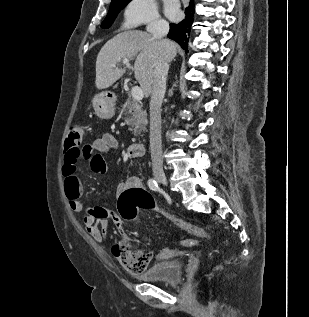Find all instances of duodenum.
I'll return each mask as SVG.
<instances>
[{
	"mask_svg": "<svg viewBox=\"0 0 309 317\" xmlns=\"http://www.w3.org/2000/svg\"><path fill=\"white\" fill-rule=\"evenodd\" d=\"M145 147L140 142L132 143L127 148V154L130 158L141 157L144 154Z\"/></svg>",
	"mask_w": 309,
	"mask_h": 317,
	"instance_id": "duodenum-1",
	"label": "duodenum"
}]
</instances>
